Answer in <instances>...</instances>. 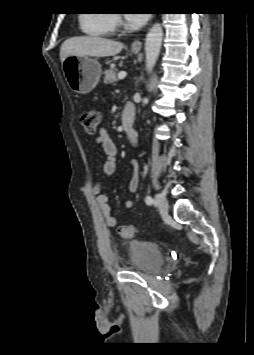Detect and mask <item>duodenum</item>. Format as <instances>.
<instances>
[{"label":"duodenum","mask_w":254,"mask_h":355,"mask_svg":"<svg viewBox=\"0 0 254 355\" xmlns=\"http://www.w3.org/2000/svg\"><path fill=\"white\" fill-rule=\"evenodd\" d=\"M134 105L132 103H127L125 105V111L122 115V126L127 134H132L134 130Z\"/></svg>","instance_id":"duodenum-1"}]
</instances>
